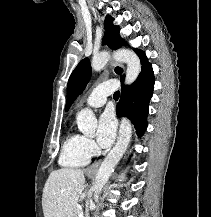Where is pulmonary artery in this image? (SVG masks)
<instances>
[{
  "label": "pulmonary artery",
  "instance_id": "e3ab8cb5",
  "mask_svg": "<svg viewBox=\"0 0 211 217\" xmlns=\"http://www.w3.org/2000/svg\"><path fill=\"white\" fill-rule=\"evenodd\" d=\"M118 85V82L114 79L97 84L86 98V106L92 108L103 106L106 103L107 97L118 88Z\"/></svg>",
  "mask_w": 211,
  "mask_h": 217
}]
</instances>
